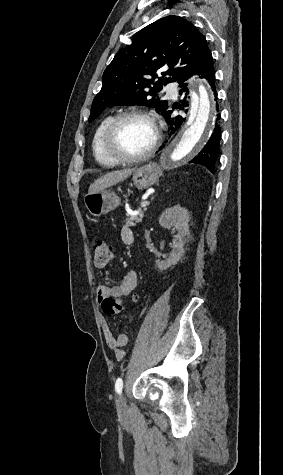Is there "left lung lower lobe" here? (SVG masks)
Here are the masks:
<instances>
[{
  "label": "left lung lower lobe",
  "instance_id": "1",
  "mask_svg": "<svg viewBox=\"0 0 283 475\" xmlns=\"http://www.w3.org/2000/svg\"><path fill=\"white\" fill-rule=\"evenodd\" d=\"M195 74H199V75H201V78H205L206 80H208V83L212 88L214 96H217L216 86H215V72H214V69H213L212 55L206 61L201 63L198 67H196L193 70L189 71L183 77H181L177 80V82L180 84V86H183V88L180 90V95H182V93L186 91V84H184V82L189 77H191L192 75H195ZM186 94H188V92H186ZM215 100H216V98H215ZM185 103H187V102H185ZM175 108L182 109V107H175ZM216 110L217 111L219 110L218 105H216ZM164 116L167 119L168 125H170V127H169V130H171L170 136L173 133H175L180 128L182 123L185 121V118H182L179 115L178 116L173 115L172 111L169 109V107L165 110ZM219 119H220V115L218 114L217 115V120H219ZM220 137H221V128L216 123L214 131H213L210 139L208 140V142L204 146V148L189 163L202 164V165L206 166L210 171L214 172L215 162H216V159L219 155Z\"/></svg>",
  "mask_w": 283,
  "mask_h": 475
}]
</instances>
